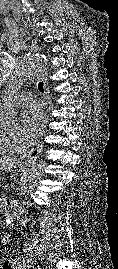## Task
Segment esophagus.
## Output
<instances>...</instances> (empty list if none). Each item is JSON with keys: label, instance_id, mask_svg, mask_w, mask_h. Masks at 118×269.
<instances>
[{"label": "esophagus", "instance_id": "1", "mask_svg": "<svg viewBox=\"0 0 118 269\" xmlns=\"http://www.w3.org/2000/svg\"><path fill=\"white\" fill-rule=\"evenodd\" d=\"M39 77L44 81L45 84V98L46 100L50 103V98H49V87H48V82H47V70L46 68H43L40 70ZM50 108V107H49ZM44 143L41 142L37 147L31 149L30 151L26 152L20 157L21 162H29L36 160L40 154L43 151Z\"/></svg>", "mask_w": 118, "mask_h": 269}]
</instances>
